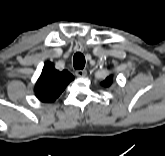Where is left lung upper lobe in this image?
I'll return each instance as SVG.
<instances>
[{
    "label": "left lung upper lobe",
    "instance_id": "5c2ea615",
    "mask_svg": "<svg viewBox=\"0 0 165 156\" xmlns=\"http://www.w3.org/2000/svg\"><path fill=\"white\" fill-rule=\"evenodd\" d=\"M111 83H112V78H111V77H108L107 79H105V80L101 83V85L104 86V87H108V86L111 85Z\"/></svg>",
    "mask_w": 165,
    "mask_h": 156
}]
</instances>
